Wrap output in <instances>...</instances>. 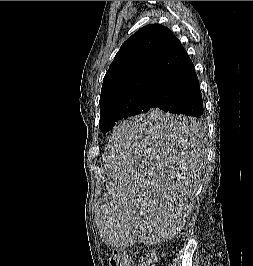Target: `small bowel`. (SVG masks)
<instances>
[{"label":"small bowel","mask_w":253,"mask_h":266,"mask_svg":"<svg viewBox=\"0 0 253 266\" xmlns=\"http://www.w3.org/2000/svg\"><path fill=\"white\" fill-rule=\"evenodd\" d=\"M129 266H139V265H137V264H131V263H130V265H129Z\"/></svg>","instance_id":"1"}]
</instances>
